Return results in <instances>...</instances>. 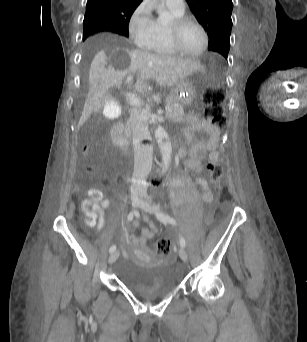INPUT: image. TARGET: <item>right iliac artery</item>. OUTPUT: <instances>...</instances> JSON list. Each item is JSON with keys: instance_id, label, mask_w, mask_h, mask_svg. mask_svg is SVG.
Segmentation results:
<instances>
[{"instance_id": "1", "label": "right iliac artery", "mask_w": 307, "mask_h": 342, "mask_svg": "<svg viewBox=\"0 0 307 342\" xmlns=\"http://www.w3.org/2000/svg\"><path fill=\"white\" fill-rule=\"evenodd\" d=\"M136 215H137V211H132V212L129 213V215L127 216V220H128V221L133 220L134 216H136ZM115 250H116V246L113 245V246L110 247L109 252L112 253V252H114Z\"/></svg>"}]
</instances>
